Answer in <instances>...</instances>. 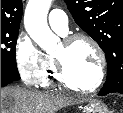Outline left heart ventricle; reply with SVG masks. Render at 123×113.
Wrapping results in <instances>:
<instances>
[{"instance_id":"1","label":"left heart ventricle","mask_w":123,"mask_h":113,"mask_svg":"<svg viewBox=\"0 0 123 113\" xmlns=\"http://www.w3.org/2000/svg\"><path fill=\"white\" fill-rule=\"evenodd\" d=\"M54 55L63 62L69 79L80 86L91 85L98 75V57L86 41H77L70 47L60 44Z\"/></svg>"}]
</instances>
